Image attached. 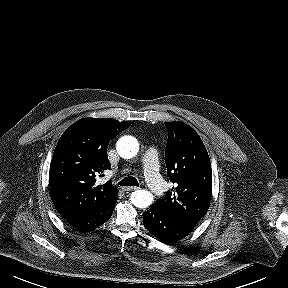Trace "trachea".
<instances>
[{"label":"trachea","mask_w":288,"mask_h":288,"mask_svg":"<svg viewBox=\"0 0 288 288\" xmlns=\"http://www.w3.org/2000/svg\"><path fill=\"white\" fill-rule=\"evenodd\" d=\"M119 185L121 186H137L139 187V183L135 177H125L120 182Z\"/></svg>","instance_id":"1"}]
</instances>
